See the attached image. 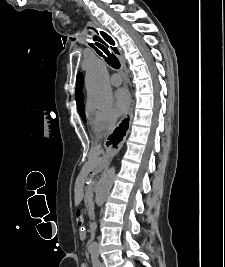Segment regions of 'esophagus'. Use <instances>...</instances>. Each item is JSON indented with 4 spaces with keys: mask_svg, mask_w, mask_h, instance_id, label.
Listing matches in <instances>:
<instances>
[{
    "mask_svg": "<svg viewBox=\"0 0 225 267\" xmlns=\"http://www.w3.org/2000/svg\"><path fill=\"white\" fill-rule=\"evenodd\" d=\"M98 32H99L100 36H101L104 40H105V38H107V36H106L105 34H107V35L110 36V34H109L108 32H106L105 30H103V29H99ZM110 37H111V36H110ZM105 41H106V40H105ZM112 47L115 48V46H112ZM117 56H118V58H119V60H120V62H121V66H122V69H123V71H124V75H125V83H126V85H128V84H129V76H128V71H127V67H126L125 61H124L122 55L119 54L118 52H117ZM128 116H129L130 118H132V116H133L132 102H131V106H130L129 111H128ZM107 151H108V153H109L110 155H113L114 152H115V151H114L113 149H111V148H108Z\"/></svg>",
    "mask_w": 225,
    "mask_h": 267,
    "instance_id": "34e87169",
    "label": "esophagus"
}]
</instances>
